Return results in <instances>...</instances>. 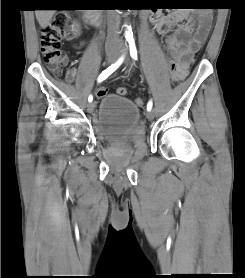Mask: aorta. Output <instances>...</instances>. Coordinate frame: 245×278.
Masks as SVG:
<instances>
[{"label":"aorta","mask_w":245,"mask_h":278,"mask_svg":"<svg viewBox=\"0 0 245 278\" xmlns=\"http://www.w3.org/2000/svg\"><path fill=\"white\" fill-rule=\"evenodd\" d=\"M129 34H130V32H127V33H126V35H129Z\"/></svg>","instance_id":"762f6f07"}]
</instances>
